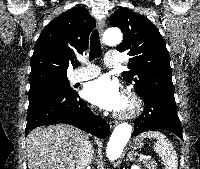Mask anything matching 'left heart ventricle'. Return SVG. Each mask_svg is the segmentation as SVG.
<instances>
[{
    "instance_id": "obj_1",
    "label": "left heart ventricle",
    "mask_w": 200,
    "mask_h": 169,
    "mask_svg": "<svg viewBox=\"0 0 200 169\" xmlns=\"http://www.w3.org/2000/svg\"><path fill=\"white\" fill-rule=\"evenodd\" d=\"M128 102L123 98L122 106L120 108V111L127 109Z\"/></svg>"
}]
</instances>
